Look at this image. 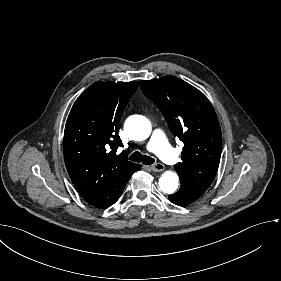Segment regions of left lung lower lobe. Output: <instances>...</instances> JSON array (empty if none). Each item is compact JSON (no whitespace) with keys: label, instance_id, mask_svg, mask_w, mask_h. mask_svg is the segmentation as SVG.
<instances>
[{"label":"left lung lower lobe","instance_id":"obj_1","mask_svg":"<svg viewBox=\"0 0 281 281\" xmlns=\"http://www.w3.org/2000/svg\"><path fill=\"white\" fill-rule=\"evenodd\" d=\"M203 193L181 183L179 191L173 195H169V200L179 206L188 205L196 201Z\"/></svg>","mask_w":281,"mask_h":281}]
</instances>
